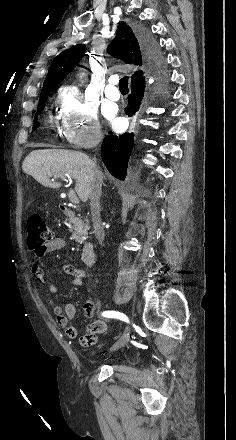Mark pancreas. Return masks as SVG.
<instances>
[{
  "instance_id": "1",
  "label": "pancreas",
  "mask_w": 236,
  "mask_h": 440,
  "mask_svg": "<svg viewBox=\"0 0 236 440\" xmlns=\"http://www.w3.org/2000/svg\"><path fill=\"white\" fill-rule=\"evenodd\" d=\"M71 223L73 224L71 227L72 238L78 241L79 243H83L84 237L87 236L88 234V230H89L88 224L85 223L80 218L74 219L73 221H71Z\"/></svg>"
}]
</instances>
